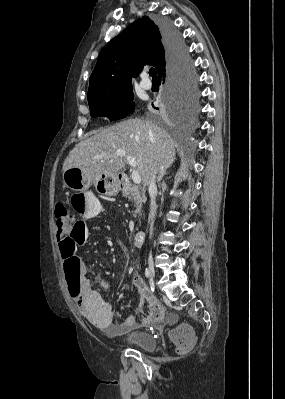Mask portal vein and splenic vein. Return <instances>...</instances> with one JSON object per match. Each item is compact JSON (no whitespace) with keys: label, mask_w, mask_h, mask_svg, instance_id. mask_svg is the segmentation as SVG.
<instances>
[{"label":"portal vein and splenic vein","mask_w":285,"mask_h":399,"mask_svg":"<svg viewBox=\"0 0 285 399\" xmlns=\"http://www.w3.org/2000/svg\"><path fill=\"white\" fill-rule=\"evenodd\" d=\"M116 155L118 157H126L127 163L133 168V171H132V174H131V178H132L133 183H135L137 185L140 184L141 183V177H140L139 172L136 170V161H135V159H133L130 156H126L125 151H122V150L117 151Z\"/></svg>","instance_id":"portal-vein-and-splenic-vein-1"}]
</instances>
